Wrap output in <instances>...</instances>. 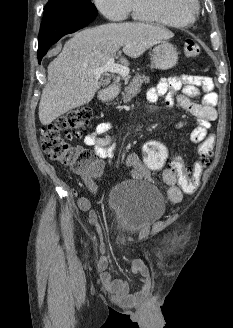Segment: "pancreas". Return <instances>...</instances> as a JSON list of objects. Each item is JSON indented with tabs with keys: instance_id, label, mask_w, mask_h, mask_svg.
I'll return each mask as SVG.
<instances>
[{
	"instance_id": "cf45deb5",
	"label": "pancreas",
	"mask_w": 233,
	"mask_h": 328,
	"mask_svg": "<svg viewBox=\"0 0 233 328\" xmlns=\"http://www.w3.org/2000/svg\"><path fill=\"white\" fill-rule=\"evenodd\" d=\"M149 81V77L137 74L132 79V82L125 87L124 92H122L123 102H129L133 96L140 92L142 84L148 83ZM125 84H127V81L125 82Z\"/></svg>"
}]
</instances>
